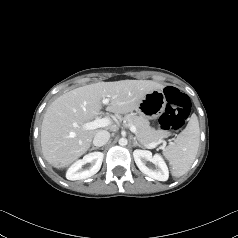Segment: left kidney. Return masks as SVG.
I'll return each instance as SVG.
<instances>
[{
  "instance_id": "1",
  "label": "left kidney",
  "mask_w": 238,
  "mask_h": 238,
  "mask_svg": "<svg viewBox=\"0 0 238 238\" xmlns=\"http://www.w3.org/2000/svg\"><path fill=\"white\" fill-rule=\"evenodd\" d=\"M133 156L136 165L142 173L158 181L168 180L169 170L162 156L159 154L152 156L150 151L139 149L134 150ZM147 162L153 165L149 166Z\"/></svg>"
}]
</instances>
